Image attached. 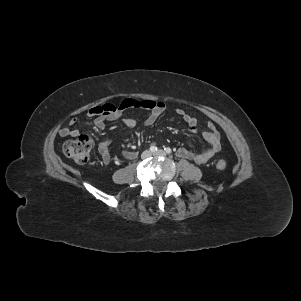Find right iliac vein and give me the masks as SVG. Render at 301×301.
Here are the masks:
<instances>
[{
	"mask_svg": "<svg viewBox=\"0 0 301 301\" xmlns=\"http://www.w3.org/2000/svg\"><path fill=\"white\" fill-rule=\"evenodd\" d=\"M142 158H148L149 156H151V152L150 151H148V150H146V151H144L143 153H142Z\"/></svg>",
	"mask_w": 301,
	"mask_h": 301,
	"instance_id": "1",
	"label": "right iliac vein"
}]
</instances>
